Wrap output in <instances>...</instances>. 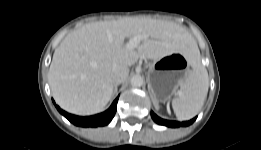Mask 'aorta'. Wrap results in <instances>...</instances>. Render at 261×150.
I'll return each instance as SVG.
<instances>
[{
	"label": "aorta",
	"instance_id": "obj_1",
	"mask_svg": "<svg viewBox=\"0 0 261 150\" xmlns=\"http://www.w3.org/2000/svg\"><path fill=\"white\" fill-rule=\"evenodd\" d=\"M130 83L132 87H141L143 85V78L140 75H135L131 78Z\"/></svg>",
	"mask_w": 261,
	"mask_h": 150
}]
</instances>
